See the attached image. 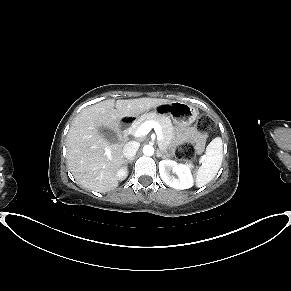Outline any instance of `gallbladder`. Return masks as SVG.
<instances>
[{
	"mask_svg": "<svg viewBox=\"0 0 291 291\" xmlns=\"http://www.w3.org/2000/svg\"><path fill=\"white\" fill-rule=\"evenodd\" d=\"M99 132L105 140H107L111 143H115L118 140L116 133L110 129L101 127L99 129Z\"/></svg>",
	"mask_w": 291,
	"mask_h": 291,
	"instance_id": "1",
	"label": "gallbladder"
}]
</instances>
